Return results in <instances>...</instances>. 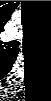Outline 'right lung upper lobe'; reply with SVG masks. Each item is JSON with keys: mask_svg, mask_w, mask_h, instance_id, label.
I'll return each instance as SVG.
<instances>
[{"mask_svg": "<svg viewBox=\"0 0 51 101\" xmlns=\"http://www.w3.org/2000/svg\"><path fill=\"white\" fill-rule=\"evenodd\" d=\"M18 6V2L14 3V1H2L0 7V30H3L4 25L10 19L12 12ZM8 52L3 53V58L1 57L0 63L2 67H5L10 63L14 55L16 54L15 49L8 48ZM7 50V49H4Z\"/></svg>", "mask_w": 51, "mask_h": 101, "instance_id": "obj_1", "label": "right lung upper lobe"}]
</instances>
